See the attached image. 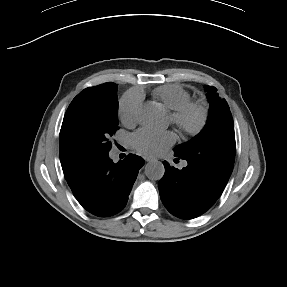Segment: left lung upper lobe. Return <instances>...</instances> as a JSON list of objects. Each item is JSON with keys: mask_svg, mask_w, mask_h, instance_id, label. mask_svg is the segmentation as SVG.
<instances>
[{"mask_svg": "<svg viewBox=\"0 0 287 287\" xmlns=\"http://www.w3.org/2000/svg\"><path fill=\"white\" fill-rule=\"evenodd\" d=\"M210 111L204 129L190 141L177 145L175 156L186 159L202 171L210 173V181L225 186L233 170L235 159L234 123L225 99L217 89L205 86Z\"/></svg>", "mask_w": 287, "mask_h": 287, "instance_id": "obj_1", "label": "left lung upper lobe"}]
</instances>
